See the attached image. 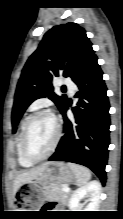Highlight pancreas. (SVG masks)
Returning a JSON list of instances; mask_svg holds the SVG:
<instances>
[{"label": "pancreas", "mask_w": 123, "mask_h": 219, "mask_svg": "<svg viewBox=\"0 0 123 219\" xmlns=\"http://www.w3.org/2000/svg\"><path fill=\"white\" fill-rule=\"evenodd\" d=\"M44 196L46 200L65 202L69 197V193L64 192L61 186H50L44 190Z\"/></svg>", "instance_id": "cf45deb5"}]
</instances>
